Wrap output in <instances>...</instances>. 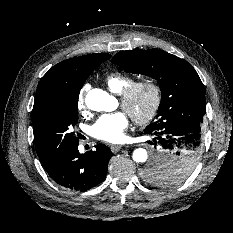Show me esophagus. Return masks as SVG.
<instances>
[{"label":"esophagus","mask_w":233,"mask_h":233,"mask_svg":"<svg viewBox=\"0 0 233 233\" xmlns=\"http://www.w3.org/2000/svg\"><path fill=\"white\" fill-rule=\"evenodd\" d=\"M122 147V145H111L110 149L112 152H118Z\"/></svg>","instance_id":"esophagus-1"}]
</instances>
